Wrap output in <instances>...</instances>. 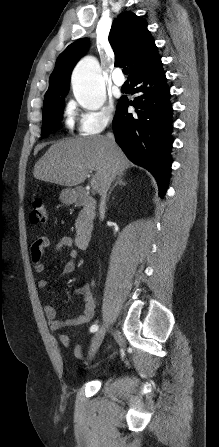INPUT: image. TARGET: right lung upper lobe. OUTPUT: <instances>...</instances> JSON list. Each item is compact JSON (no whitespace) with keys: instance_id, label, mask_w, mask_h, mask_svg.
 Returning a JSON list of instances; mask_svg holds the SVG:
<instances>
[{"instance_id":"right-lung-upper-lobe-1","label":"right lung upper lobe","mask_w":219,"mask_h":447,"mask_svg":"<svg viewBox=\"0 0 219 447\" xmlns=\"http://www.w3.org/2000/svg\"><path fill=\"white\" fill-rule=\"evenodd\" d=\"M108 39L115 54V65L126 64L130 68V80L160 58L147 29V22L132 12L118 15L112 24ZM87 47L88 40L81 38L59 55L49 78V88L44 100L68 92L71 72Z\"/></svg>"}]
</instances>
